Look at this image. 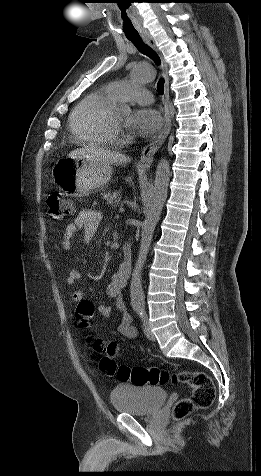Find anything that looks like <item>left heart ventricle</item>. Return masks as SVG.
I'll return each mask as SVG.
<instances>
[{"instance_id": "obj_1", "label": "left heart ventricle", "mask_w": 261, "mask_h": 476, "mask_svg": "<svg viewBox=\"0 0 261 476\" xmlns=\"http://www.w3.org/2000/svg\"><path fill=\"white\" fill-rule=\"evenodd\" d=\"M116 121H117V123H121V122L123 121V118H122V117H119V118H117Z\"/></svg>"}]
</instances>
